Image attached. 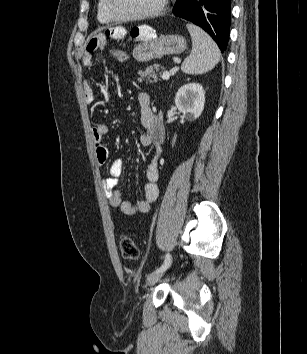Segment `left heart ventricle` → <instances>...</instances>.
Instances as JSON below:
<instances>
[{
  "instance_id": "left-heart-ventricle-1",
  "label": "left heart ventricle",
  "mask_w": 307,
  "mask_h": 354,
  "mask_svg": "<svg viewBox=\"0 0 307 354\" xmlns=\"http://www.w3.org/2000/svg\"><path fill=\"white\" fill-rule=\"evenodd\" d=\"M160 0H113L115 10L122 15H133L155 8Z\"/></svg>"
}]
</instances>
